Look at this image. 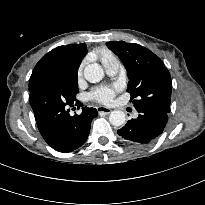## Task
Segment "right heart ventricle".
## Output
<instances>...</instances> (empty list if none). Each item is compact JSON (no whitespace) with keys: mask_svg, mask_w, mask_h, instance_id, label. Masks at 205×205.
<instances>
[{"mask_svg":"<svg viewBox=\"0 0 205 205\" xmlns=\"http://www.w3.org/2000/svg\"><path fill=\"white\" fill-rule=\"evenodd\" d=\"M94 54L101 61L104 67H107L111 63L118 61L117 57L111 51L105 48L97 49Z\"/></svg>","mask_w":205,"mask_h":205,"instance_id":"obj_1","label":"right heart ventricle"}]
</instances>
